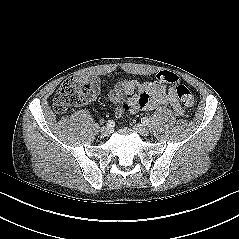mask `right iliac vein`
Returning a JSON list of instances; mask_svg holds the SVG:
<instances>
[{
    "mask_svg": "<svg viewBox=\"0 0 239 239\" xmlns=\"http://www.w3.org/2000/svg\"><path fill=\"white\" fill-rule=\"evenodd\" d=\"M102 136L107 137L111 134V128L109 127H102L100 130Z\"/></svg>",
    "mask_w": 239,
    "mask_h": 239,
    "instance_id": "63e3f726",
    "label": "right iliac vein"
}]
</instances>
